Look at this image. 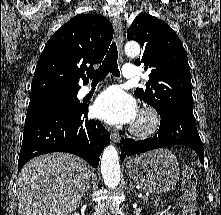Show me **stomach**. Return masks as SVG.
Segmentation results:
<instances>
[{
  "instance_id": "stomach-1",
  "label": "stomach",
  "mask_w": 221,
  "mask_h": 215,
  "mask_svg": "<svg viewBox=\"0 0 221 215\" xmlns=\"http://www.w3.org/2000/svg\"><path fill=\"white\" fill-rule=\"evenodd\" d=\"M126 166L129 176L150 193H166L179 180L180 169L177 158L165 148L130 158Z\"/></svg>"
}]
</instances>
